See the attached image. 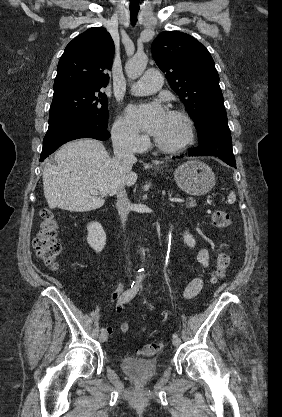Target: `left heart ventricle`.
Segmentation results:
<instances>
[{
    "instance_id": "obj_1",
    "label": "left heart ventricle",
    "mask_w": 282,
    "mask_h": 417,
    "mask_svg": "<svg viewBox=\"0 0 282 417\" xmlns=\"http://www.w3.org/2000/svg\"><path fill=\"white\" fill-rule=\"evenodd\" d=\"M184 136V126L180 119L165 115L156 137L165 143H175Z\"/></svg>"
}]
</instances>
